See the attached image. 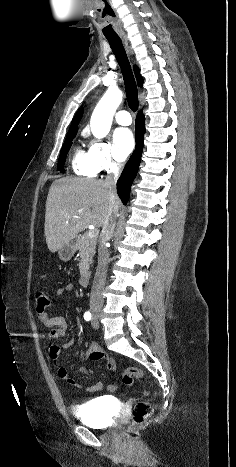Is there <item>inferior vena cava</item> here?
Segmentation results:
<instances>
[{
  "label": "inferior vena cava",
  "mask_w": 236,
  "mask_h": 467,
  "mask_svg": "<svg viewBox=\"0 0 236 467\" xmlns=\"http://www.w3.org/2000/svg\"><path fill=\"white\" fill-rule=\"evenodd\" d=\"M120 175V166L114 167L111 172L106 176L104 184L110 191L111 196L113 197L116 193V183ZM118 214V209L114 206L113 201L111 200L109 205V211L103 223V228L100 234V241L98 246V265L96 273L93 280V285L91 288L90 295V307H102L103 305V289L105 286L107 265L109 261V254L107 250V242L112 238L113 231L116 224V217Z\"/></svg>",
  "instance_id": "602c4592"
}]
</instances>
